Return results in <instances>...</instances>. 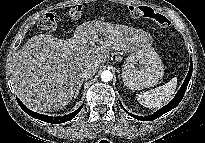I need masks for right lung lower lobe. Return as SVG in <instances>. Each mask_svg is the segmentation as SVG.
<instances>
[{"mask_svg": "<svg viewBox=\"0 0 205 143\" xmlns=\"http://www.w3.org/2000/svg\"><path fill=\"white\" fill-rule=\"evenodd\" d=\"M17 101H18L19 106L31 117L42 120V121H45V122H48V123H54V124L65 123V122L73 119L83 107V105H82L76 111H74V112H72L68 115H65V116L52 117V116H47V115H43V114L33 112L30 109H28L18 98H17Z\"/></svg>", "mask_w": 205, "mask_h": 143, "instance_id": "98d812e1", "label": "right lung lower lobe"}]
</instances>
